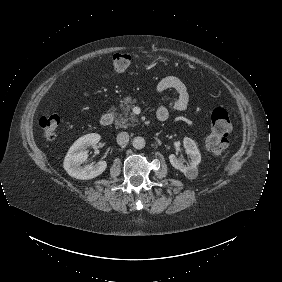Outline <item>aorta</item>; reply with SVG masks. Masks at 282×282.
<instances>
[{
    "label": "aorta",
    "mask_w": 282,
    "mask_h": 282,
    "mask_svg": "<svg viewBox=\"0 0 282 282\" xmlns=\"http://www.w3.org/2000/svg\"><path fill=\"white\" fill-rule=\"evenodd\" d=\"M145 145H146V141H145V139H144L143 137H141V136L135 137V138L133 139V141H132V146H133L135 149H138V150L144 148Z\"/></svg>",
    "instance_id": "aorta-1"
}]
</instances>
